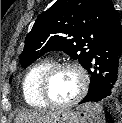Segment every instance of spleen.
Here are the masks:
<instances>
[{
	"label": "spleen",
	"mask_w": 122,
	"mask_h": 123,
	"mask_svg": "<svg viewBox=\"0 0 122 123\" xmlns=\"http://www.w3.org/2000/svg\"><path fill=\"white\" fill-rule=\"evenodd\" d=\"M87 115L89 123H105L103 107L98 103H86L79 107Z\"/></svg>",
	"instance_id": "spleen-1"
}]
</instances>
